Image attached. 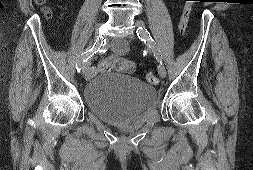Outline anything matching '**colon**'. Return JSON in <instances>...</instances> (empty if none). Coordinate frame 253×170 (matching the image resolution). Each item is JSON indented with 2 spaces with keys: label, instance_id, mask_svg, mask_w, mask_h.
Listing matches in <instances>:
<instances>
[{
  "label": "colon",
  "instance_id": "colon-1",
  "mask_svg": "<svg viewBox=\"0 0 253 170\" xmlns=\"http://www.w3.org/2000/svg\"><path fill=\"white\" fill-rule=\"evenodd\" d=\"M192 1H194V0H186L185 5L183 7V11H182L180 21H179V29H180L181 34H185L186 30L188 28L190 15L193 10ZM35 2L37 4L42 5L45 3V0H35ZM46 13L48 14V11H46ZM117 59H118L117 57L113 56L110 59H108L107 61H105L100 67L101 70L106 71V70L113 69L114 63ZM133 70H134V65L126 64L124 66L123 72H131ZM146 80L149 83L156 84L158 82L157 72H155V71L147 72L146 73Z\"/></svg>",
  "mask_w": 253,
  "mask_h": 170
}]
</instances>
